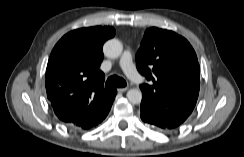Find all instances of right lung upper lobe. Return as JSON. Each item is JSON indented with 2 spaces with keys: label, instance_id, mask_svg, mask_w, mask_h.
Returning a JSON list of instances; mask_svg holds the SVG:
<instances>
[{
  "label": "right lung upper lobe",
  "instance_id": "obj_1",
  "mask_svg": "<svg viewBox=\"0 0 244 157\" xmlns=\"http://www.w3.org/2000/svg\"><path fill=\"white\" fill-rule=\"evenodd\" d=\"M112 27H89L64 35L51 52L46 69V92L57 117L77 129H90L109 110L117 91L105 89L98 68L102 46L114 37Z\"/></svg>",
  "mask_w": 244,
  "mask_h": 157
}]
</instances>
